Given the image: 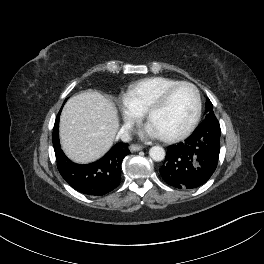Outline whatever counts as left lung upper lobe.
Masks as SVG:
<instances>
[{"label": "left lung upper lobe", "instance_id": "left-lung-upper-lobe-1", "mask_svg": "<svg viewBox=\"0 0 264 264\" xmlns=\"http://www.w3.org/2000/svg\"><path fill=\"white\" fill-rule=\"evenodd\" d=\"M206 111H207V115L205 117V121L210 120V121L218 122V120H217V118L213 112V105L209 99H207V101H206Z\"/></svg>", "mask_w": 264, "mask_h": 264}]
</instances>
